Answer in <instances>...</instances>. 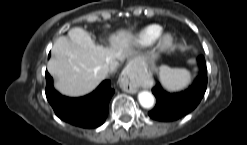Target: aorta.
<instances>
[{"label": "aorta", "instance_id": "obj_1", "mask_svg": "<svg viewBox=\"0 0 247 145\" xmlns=\"http://www.w3.org/2000/svg\"><path fill=\"white\" fill-rule=\"evenodd\" d=\"M138 100L140 105L146 109L153 107L155 103V98L153 94L148 91H141L138 94Z\"/></svg>", "mask_w": 247, "mask_h": 145}]
</instances>
